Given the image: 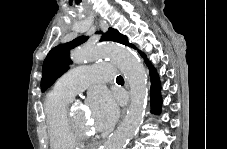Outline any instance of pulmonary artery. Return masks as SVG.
Listing matches in <instances>:
<instances>
[{
	"label": "pulmonary artery",
	"mask_w": 227,
	"mask_h": 149,
	"mask_svg": "<svg viewBox=\"0 0 227 149\" xmlns=\"http://www.w3.org/2000/svg\"><path fill=\"white\" fill-rule=\"evenodd\" d=\"M114 67L110 63H98L92 66H78L62 76L54 89L69 97H74L92 83L110 82Z\"/></svg>",
	"instance_id": "pulmonary-artery-1"
}]
</instances>
